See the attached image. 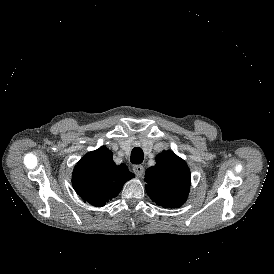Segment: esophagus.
Returning <instances> with one entry per match:
<instances>
[{"label": "esophagus", "instance_id": "obj_1", "mask_svg": "<svg viewBox=\"0 0 274 274\" xmlns=\"http://www.w3.org/2000/svg\"><path fill=\"white\" fill-rule=\"evenodd\" d=\"M133 172L138 176L141 177L144 173V167L143 165H134L133 166Z\"/></svg>", "mask_w": 274, "mask_h": 274}]
</instances>
